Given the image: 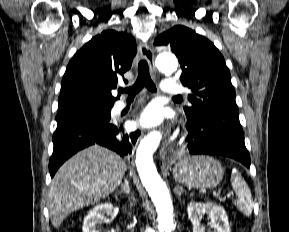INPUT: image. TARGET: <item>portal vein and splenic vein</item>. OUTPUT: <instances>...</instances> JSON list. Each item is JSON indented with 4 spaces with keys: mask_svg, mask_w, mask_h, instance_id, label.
<instances>
[{
    "mask_svg": "<svg viewBox=\"0 0 289 232\" xmlns=\"http://www.w3.org/2000/svg\"><path fill=\"white\" fill-rule=\"evenodd\" d=\"M226 197H227V198H233V197H234V193H233V192H228V193L226 194Z\"/></svg>",
    "mask_w": 289,
    "mask_h": 232,
    "instance_id": "1",
    "label": "portal vein and splenic vein"
}]
</instances>
